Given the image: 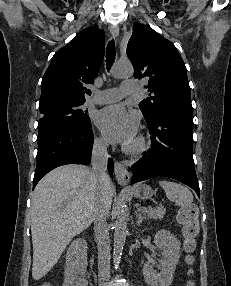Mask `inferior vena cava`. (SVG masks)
<instances>
[{
	"label": "inferior vena cava",
	"instance_id": "inferior-vena-cava-1",
	"mask_svg": "<svg viewBox=\"0 0 231 286\" xmlns=\"http://www.w3.org/2000/svg\"><path fill=\"white\" fill-rule=\"evenodd\" d=\"M107 143L95 140L92 149V172L97 181V194L93 208L95 239L98 246V277L99 286H109L110 278V240L104 216L108 213L103 200V186L110 180L107 173Z\"/></svg>",
	"mask_w": 231,
	"mask_h": 286
}]
</instances>
